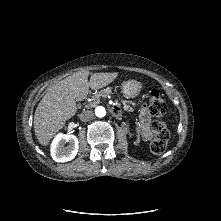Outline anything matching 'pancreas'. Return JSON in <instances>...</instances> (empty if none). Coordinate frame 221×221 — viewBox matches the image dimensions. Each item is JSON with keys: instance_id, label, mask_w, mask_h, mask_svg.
Returning a JSON list of instances; mask_svg holds the SVG:
<instances>
[{"instance_id": "1", "label": "pancreas", "mask_w": 221, "mask_h": 221, "mask_svg": "<svg viewBox=\"0 0 221 221\" xmlns=\"http://www.w3.org/2000/svg\"><path fill=\"white\" fill-rule=\"evenodd\" d=\"M112 92V90H111V88H107V89H105V90H103V91H95V92H93V97H91V102H95V103H97V104H99V103H101V98H102V96H107L108 94H110ZM122 104H123V108L126 110V111H128V112H133V108L129 105V102L128 101H126V100H122Z\"/></svg>"}]
</instances>
